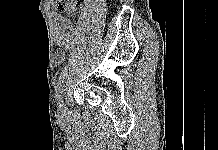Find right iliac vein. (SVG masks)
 I'll return each mask as SVG.
<instances>
[{
  "label": "right iliac vein",
  "mask_w": 218,
  "mask_h": 150,
  "mask_svg": "<svg viewBox=\"0 0 218 150\" xmlns=\"http://www.w3.org/2000/svg\"><path fill=\"white\" fill-rule=\"evenodd\" d=\"M58 112H59L60 116H64V114H65L64 102H63L62 98L58 102Z\"/></svg>",
  "instance_id": "right-iliac-vein-1"
}]
</instances>
